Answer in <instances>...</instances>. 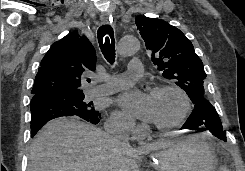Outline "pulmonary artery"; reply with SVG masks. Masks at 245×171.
<instances>
[{"mask_svg":"<svg viewBox=\"0 0 245 171\" xmlns=\"http://www.w3.org/2000/svg\"><path fill=\"white\" fill-rule=\"evenodd\" d=\"M142 72L143 67L141 61L134 58L130 61L126 72L109 77L103 85L91 87L89 91L90 95L95 97L126 89L133 84Z\"/></svg>","mask_w":245,"mask_h":171,"instance_id":"pulmonary-artery-1","label":"pulmonary artery"}]
</instances>
